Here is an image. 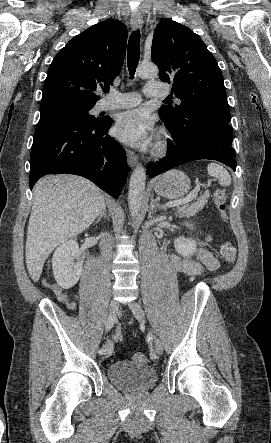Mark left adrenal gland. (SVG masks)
Segmentation results:
<instances>
[{
  "label": "left adrenal gland",
  "mask_w": 271,
  "mask_h": 443,
  "mask_svg": "<svg viewBox=\"0 0 271 443\" xmlns=\"http://www.w3.org/2000/svg\"><path fill=\"white\" fill-rule=\"evenodd\" d=\"M156 210H164L163 206H160V204H158V202H155L153 196L151 198V204H150V212L151 214H154V212H156Z\"/></svg>",
  "instance_id": "1"
}]
</instances>
